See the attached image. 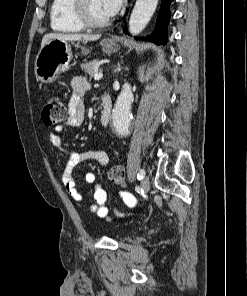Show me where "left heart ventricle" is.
<instances>
[{
    "label": "left heart ventricle",
    "mask_w": 247,
    "mask_h": 296,
    "mask_svg": "<svg viewBox=\"0 0 247 296\" xmlns=\"http://www.w3.org/2000/svg\"><path fill=\"white\" fill-rule=\"evenodd\" d=\"M87 13L93 21H104L109 17L105 14L101 0H87Z\"/></svg>",
    "instance_id": "1"
}]
</instances>
